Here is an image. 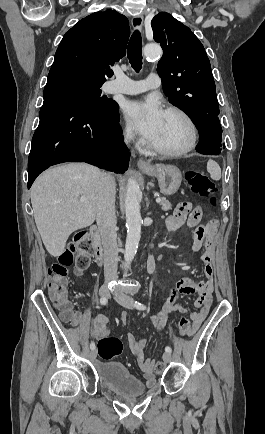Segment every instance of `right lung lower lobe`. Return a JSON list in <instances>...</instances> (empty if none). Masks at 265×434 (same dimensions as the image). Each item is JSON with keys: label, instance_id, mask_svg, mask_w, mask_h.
<instances>
[{"label": "right lung lower lobe", "instance_id": "1", "mask_svg": "<svg viewBox=\"0 0 265 434\" xmlns=\"http://www.w3.org/2000/svg\"><path fill=\"white\" fill-rule=\"evenodd\" d=\"M40 122L28 159V188L48 167L86 162L123 173L130 153L122 142L119 116L93 115L82 102L62 89H44Z\"/></svg>", "mask_w": 265, "mask_h": 434}]
</instances>
